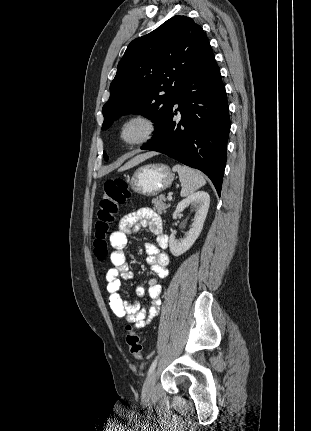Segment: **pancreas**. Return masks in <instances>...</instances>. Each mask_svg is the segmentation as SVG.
<instances>
[{"label": "pancreas", "mask_w": 311, "mask_h": 431, "mask_svg": "<svg viewBox=\"0 0 311 431\" xmlns=\"http://www.w3.org/2000/svg\"><path fill=\"white\" fill-rule=\"evenodd\" d=\"M165 196H157L153 198L151 204H153V210H156L157 214H166L167 208H170V204H165Z\"/></svg>", "instance_id": "cf45deb5"}]
</instances>
